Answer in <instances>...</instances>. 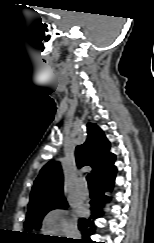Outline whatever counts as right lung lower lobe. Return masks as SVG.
I'll use <instances>...</instances> for the list:
<instances>
[{
    "label": "right lung lower lobe",
    "mask_w": 154,
    "mask_h": 243,
    "mask_svg": "<svg viewBox=\"0 0 154 243\" xmlns=\"http://www.w3.org/2000/svg\"><path fill=\"white\" fill-rule=\"evenodd\" d=\"M117 169L116 167L107 174H104L94 181V186L96 189L95 195L90 201L91 204V216L88 219H79V230L82 233V240H66L65 238H53L49 239V243H95L91 241L90 235L95 231V219L103 216V207L105 203L109 200V197L105 195V192L111 191L114 185L115 176Z\"/></svg>",
    "instance_id": "98d812e1"
}]
</instances>
